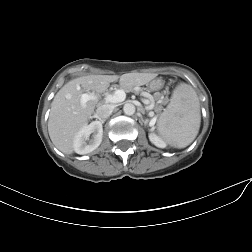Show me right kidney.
I'll use <instances>...</instances> for the list:
<instances>
[{
  "label": "right kidney",
  "instance_id": "1",
  "mask_svg": "<svg viewBox=\"0 0 252 252\" xmlns=\"http://www.w3.org/2000/svg\"><path fill=\"white\" fill-rule=\"evenodd\" d=\"M92 138L90 139V135ZM103 126L100 121H93L83 126L76 134L73 149L77 154L84 155L94 151L102 142Z\"/></svg>",
  "mask_w": 252,
  "mask_h": 252
}]
</instances>
